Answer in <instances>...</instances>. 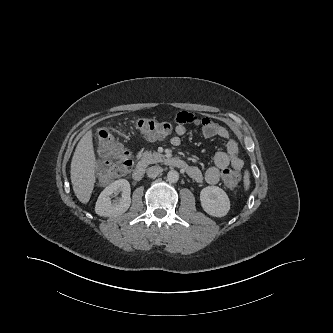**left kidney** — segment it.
Listing matches in <instances>:
<instances>
[{"instance_id":"5707ae66","label":"left kidney","mask_w":333,"mask_h":333,"mask_svg":"<svg viewBox=\"0 0 333 333\" xmlns=\"http://www.w3.org/2000/svg\"><path fill=\"white\" fill-rule=\"evenodd\" d=\"M203 210L213 217H224L230 210V200L226 192L217 186H207L200 192Z\"/></svg>"}]
</instances>
